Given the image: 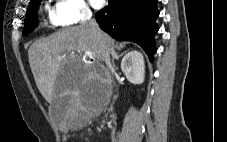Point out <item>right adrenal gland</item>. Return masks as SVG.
Wrapping results in <instances>:
<instances>
[{"instance_id":"1","label":"right adrenal gland","mask_w":227,"mask_h":142,"mask_svg":"<svg viewBox=\"0 0 227 142\" xmlns=\"http://www.w3.org/2000/svg\"><path fill=\"white\" fill-rule=\"evenodd\" d=\"M127 51L118 54L115 50H112V63H113V67L115 68V60H118L121 56H123V54H125ZM115 70H117V68H115Z\"/></svg>"}]
</instances>
